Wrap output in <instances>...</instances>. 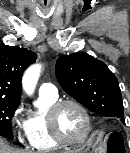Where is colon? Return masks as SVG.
<instances>
[{
    "mask_svg": "<svg viewBox=\"0 0 130 153\" xmlns=\"http://www.w3.org/2000/svg\"><path fill=\"white\" fill-rule=\"evenodd\" d=\"M108 153H124L123 138L118 133L109 135L107 141Z\"/></svg>",
    "mask_w": 130,
    "mask_h": 153,
    "instance_id": "colon-1",
    "label": "colon"
}]
</instances>
